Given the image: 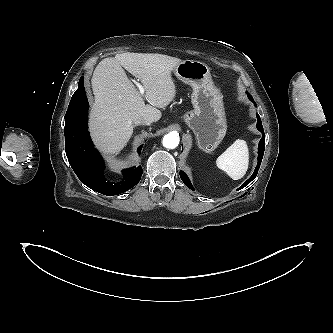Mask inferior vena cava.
Segmentation results:
<instances>
[{"label":"inferior vena cava","instance_id":"inferior-vena-cava-1","mask_svg":"<svg viewBox=\"0 0 333 333\" xmlns=\"http://www.w3.org/2000/svg\"><path fill=\"white\" fill-rule=\"evenodd\" d=\"M134 122L137 125H150L151 124V120L146 117H139Z\"/></svg>","mask_w":333,"mask_h":333}]
</instances>
